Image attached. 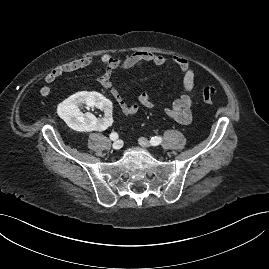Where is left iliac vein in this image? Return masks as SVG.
<instances>
[{
	"label": "left iliac vein",
	"mask_w": 269,
	"mask_h": 269,
	"mask_svg": "<svg viewBox=\"0 0 269 269\" xmlns=\"http://www.w3.org/2000/svg\"><path fill=\"white\" fill-rule=\"evenodd\" d=\"M139 144L142 147H149L150 143L145 138H139Z\"/></svg>",
	"instance_id": "4c4485c4"
}]
</instances>
